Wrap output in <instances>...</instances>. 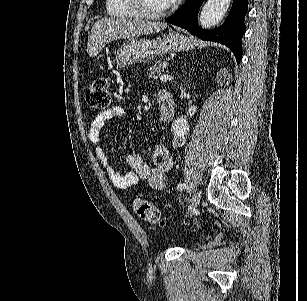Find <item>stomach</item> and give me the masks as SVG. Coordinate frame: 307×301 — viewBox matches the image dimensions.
Returning a JSON list of instances; mask_svg holds the SVG:
<instances>
[{
    "label": "stomach",
    "mask_w": 307,
    "mask_h": 301,
    "mask_svg": "<svg viewBox=\"0 0 307 301\" xmlns=\"http://www.w3.org/2000/svg\"><path fill=\"white\" fill-rule=\"evenodd\" d=\"M190 36L180 34V32H169L166 36L158 38H128L115 52V60L118 68H123L127 64L135 62H150L156 56H163L166 52H176V50H191L194 48Z\"/></svg>",
    "instance_id": "obj_1"
}]
</instances>
